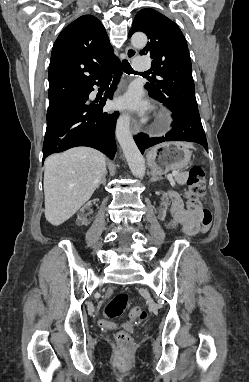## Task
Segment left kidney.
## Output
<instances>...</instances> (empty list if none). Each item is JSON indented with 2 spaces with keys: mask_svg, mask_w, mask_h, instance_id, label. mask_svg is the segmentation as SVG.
Wrapping results in <instances>:
<instances>
[{
  "mask_svg": "<svg viewBox=\"0 0 249 382\" xmlns=\"http://www.w3.org/2000/svg\"><path fill=\"white\" fill-rule=\"evenodd\" d=\"M160 201H157L156 202V207L157 208H166V205H167V197L166 196H161L160 197V199H159Z\"/></svg>",
  "mask_w": 249,
  "mask_h": 382,
  "instance_id": "1",
  "label": "left kidney"
}]
</instances>
